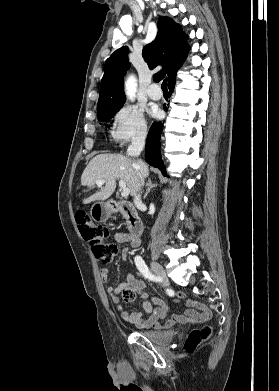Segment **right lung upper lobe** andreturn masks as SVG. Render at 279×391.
Here are the masks:
<instances>
[{"instance_id":"obj_1","label":"right lung upper lobe","mask_w":279,"mask_h":391,"mask_svg":"<svg viewBox=\"0 0 279 391\" xmlns=\"http://www.w3.org/2000/svg\"><path fill=\"white\" fill-rule=\"evenodd\" d=\"M157 25V37L143 48L142 56L150 69L162 65V70L153 75V79L167 76L170 85L175 82L176 72L187 57L190 47L181 26L171 18L160 17ZM127 55L128 47H121L106 60L97 113L125 103L123 76L130 67Z\"/></svg>"}]
</instances>
